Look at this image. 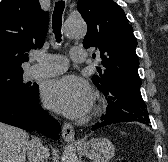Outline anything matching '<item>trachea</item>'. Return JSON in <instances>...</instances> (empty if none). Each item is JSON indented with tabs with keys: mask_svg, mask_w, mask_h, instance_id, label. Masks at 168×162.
<instances>
[{
	"mask_svg": "<svg viewBox=\"0 0 168 162\" xmlns=\"http://www.w3.org/2000/svg\"><path fill=\"white\" fill-rule=\"evenodd\" d=\"M64 7L65 2L63 0H60L55 4V8L53 11L52 28L57 42L61 41L62 14L64 11Z\"/></svg>",
	"mask_w": 168,
	"mask_h": 162,
	"instance_id": "trachea-1",
	"label": "trachea"
}]
</instances>
